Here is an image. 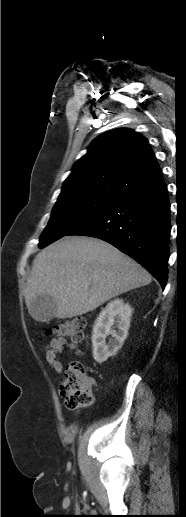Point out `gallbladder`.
<instances>
[{"label":"gallbladder","instance_id":"obj_1","mask_svg":"<svg viewBox=\"0 0 186 517\" xmlns=\"http://www.w3.org/2000/svg\"><path fill=\"white\" fill-rule=\"evenodd\" d=\"M56 309V303L52 297L43 295L34 298L29 307L30 315L38 321H50L54 316L53 313Z\"/></svg>","mask_w":186,"mask_h":517}]
</instances>
